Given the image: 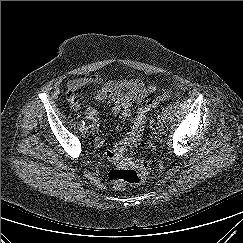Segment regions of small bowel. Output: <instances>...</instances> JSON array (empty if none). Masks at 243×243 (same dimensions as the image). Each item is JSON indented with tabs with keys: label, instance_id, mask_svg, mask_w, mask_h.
I'll list each match as a JSON object with an SVG mask.
<instances>
[{
	"label": "small bowel",
	"instance_id": "c3829d8e",
	"mask_svg": "<svg viewBox=\"0 0 243 243\" xmlns=\"http://www.w3.org/2000/svg\"><path fill=\"white\" fill-rule=\"evenodd\" d=\"M87 87L96 88L94 96L96 100L111 102L113 115L121 117L122 121L129 117L133 104L142 102L157 89L155 85L147 84L139 79H104L98 74L84 75L67 83L66 98L72 110L79 111L82 108L77 92ZM84 115L91 123V129L95 134V144L101 146L103 138L99 134L100 122L97 110L94 107H88Z\"/></svg>",
	"mask_w": 243,
	"mask_h": 243
}]
</instances>
